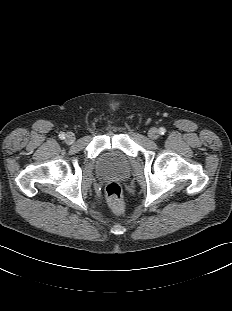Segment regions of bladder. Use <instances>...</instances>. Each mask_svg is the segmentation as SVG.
I'll use <instances>...</instances> for the list:
<instances>
[{
    "label": "bladder",
    "mask_w": 232,
    "mask_h": 311,
    "mask_svg": "<svg viewBox=\"0 0 232 311\" xmlns=\"http://www.w3.org/2000/svg\"><path fill=\"white\" fill-rule=\"evenodd\" d=\"M98 169L102 174L121 177L128 172V159L117 153H108L98 162Z\"/></svg>",
    "instance_id": "31cf9c89"
}]
</instances>
